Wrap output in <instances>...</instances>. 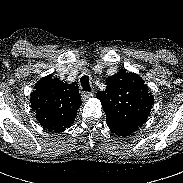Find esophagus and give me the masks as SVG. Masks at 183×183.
Wrapping results in <instances>:
<instances>
[{
    "label": "esophagus",
    "instance_id": "34e87169",
    "mask_svg": "<svg viewBox=\"0 0 183 183\" xmlns=\"http://www.w3.org/2000/svg\"><path fill=\"white\" fill-rule=\"evenodd\" d=\"M93 96V93L92 92H83L82 93V100L83 101H86L88 100L89 98H91Z\"/></svg>",
    "mask_w": 183,
    "mask_h": 183
}]
</instances>
